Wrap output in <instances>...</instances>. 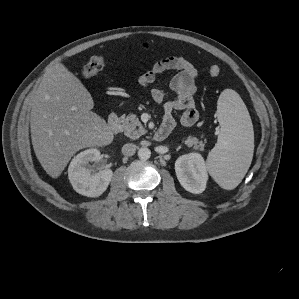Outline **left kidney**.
I'll return each instance as SVG.
<instances>
[{
    "label": "left kidney",
    "instance_id": "left-kidney-1",
    "mask_svg": "<svg viewBox=\"0 0 299 299\" xmlns=\"http://www.w3.org/2000/svg\"><path fill=\"white\" fill-rule=\"evenodd\" d=\"M175 172L185 190L194 194L205 190L208 173L205 161L199 153L180 156L175 162Z\"/></svg>",
    "mask_w": 299,
    "mask_h": 299
}]
</instances>
